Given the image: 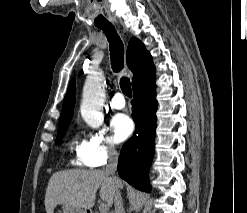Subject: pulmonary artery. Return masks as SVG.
I'll return each mask as SVG.
<instances>
[{
  "label": "pulmonary artery",
  "mask_w": 247,
  "mask_h": 213,
  "mask_svg": "<svg viewBox=\"0 0 247 213\" xmlns=\"http://www.w3.org/2000/svg\"><path fill=\"white\" fill-rule=\"evenodd\" d=\"M125 105H126V102L121 93L115 94L112 100L110 101V106L113 109L120 110V109H123Z\"/></svg>",
  "instance_id": "pulmonary-artery-1"
}]
</instances>
